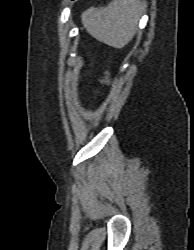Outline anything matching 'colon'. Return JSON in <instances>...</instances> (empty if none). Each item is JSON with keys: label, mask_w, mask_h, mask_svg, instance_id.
Wrapping results in <instances>:
<instances>
[{"label": "colon", "mask_w": 194, "mask_h": 250, "mask_svg": "<svg viewBox=\"0 0 194 250\" xmlns=\"http://www.w3.org/2000/svg\"><path fill=\"white\" fill-rule=\"evenodd\" d=\"M108 78H109V77L106 75V76L104 77V80L106 81V80H108Z\"/></svg>", "instance_id": "1"}]
</instances>
